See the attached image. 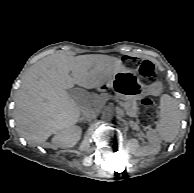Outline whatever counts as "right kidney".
<instances>
[{
	"mask_svg": "<svg viewBox=\"0 0 194 193\" xmlns=\"http://www.w3.org/2000/svg\"><path fill=\"white\" fill-rule=\"evenodd\" d=\"M81 128L75 125H69L56 133L52 138V147L70 148L76 145L81 137Z\"/></svg>",
	"mask_w": 194,
	"mask_h": 193,
	"instance_id": "ca27d5eb",
	"label": "right kidney"
}]
</instances>
